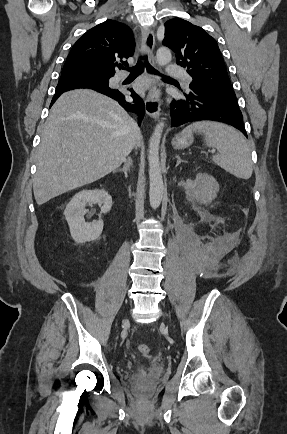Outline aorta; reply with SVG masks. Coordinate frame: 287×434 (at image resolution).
Returning <instances> with one entry per match:
<instances>
[{
	"label": "aorta",
	"mask_w": 287,
	"mask_h": 434,
	"mask_svg": "<svg viewBox=\"0 0 287 434\" xmlns=\"http://www.w3.org/2000/svg\"><path fill=\"white\" fill-rule=\"evenodd\" d=\"M172 59L171 52L166 47H160L156 52V61L159 66H165L170 63ZM164 118L156 125L155 130L149 140V151H148V163H149V200L150 205L153 209L160 206L163 193L164 184L162 178V172L160 167L159 159V146L162 137V132L164 129Z\"/></svg>",
	"instance_id": "aorta-1"
}]
</instances>
